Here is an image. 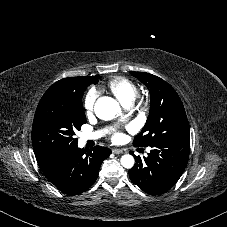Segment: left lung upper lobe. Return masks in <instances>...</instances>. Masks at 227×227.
<instances>
[{"instance_id":"left-lung-upper-lobe-1","label":"left lung upper lobe","mask_w":227,"mask_h":227,"mask_svg":"<svg viewBox=\"0 0 227 227\" xmlns=\"http://www.w3.org/2000/svg\"><path fill=\"white\" fill-rule=\"evenodd\" d=\"M148 89L150 114L134 139V146L147 147L161 142L190 140L189 123L176 91L163 79L145 72H131Z\"/></svg>"}]
</instances>
